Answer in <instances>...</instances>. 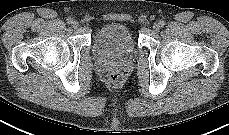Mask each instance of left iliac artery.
<instances>
[{"label":"left iliac artery","instance_id":"left-iliac-artery-1","mask_svg":"<svg viewBox=\"0 0 229 135\" xmlns=\"http://www.w3.org/2000/svg\"><path fill=\"white\" fill-rule=\"evenodd\" d=\"M159 24H160L161 27H164L165 22L164 21H160Z\"/></svg>","mask_w":229,"mask_h":135}]
</instances>
